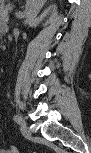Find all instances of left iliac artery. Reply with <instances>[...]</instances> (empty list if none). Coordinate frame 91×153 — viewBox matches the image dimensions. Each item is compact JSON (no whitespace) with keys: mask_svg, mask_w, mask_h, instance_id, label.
I'll use <instances>...</instances> for the list:
<instances>
[{"mask_svg":"<svg viewBox=\"0 0 91 153\" xmlns=\"http://www.w3.org/2000/svg\"><path fill=\"white\" fill-rule=\"evenodd\" d=\"M13 120H14L15 122H17L18 124H20V123L23 122L22 118H21L20 116H18V115H14V116H13ZM24 126H25V125H24Z\"/></svg>","mask_w":91,"mask_h":153,"instance_id":"1","label":"left iliac artery"}]
</instances>
